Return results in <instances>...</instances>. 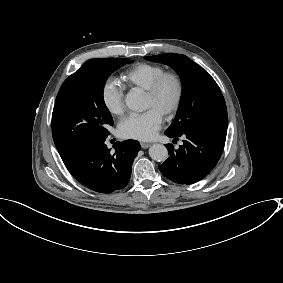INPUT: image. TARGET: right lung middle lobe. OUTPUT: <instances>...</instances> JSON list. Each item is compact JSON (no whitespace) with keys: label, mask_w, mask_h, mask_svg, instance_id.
<instances>
[{"label":"right lung middle lobe","mask_w":283,"mask_h":283,"mask_svg":"<svg viewBox=\"0 0 283 283\" xmlns=\"http://www.w3.org/2000/svg\"><path fill=\"white\" fill-rule=\"evenodd\" d=\"M128 61L92 59L64 81L52 114L53 139L62 159L108 136L106 128L113 125V119L105 105L103 89L108 76Z\"/></svg>","instance_id":"obj_1"}]
</instances>
